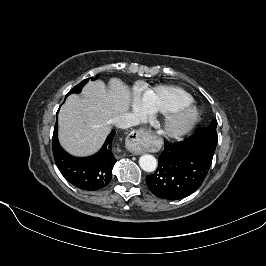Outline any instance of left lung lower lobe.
I'll use <instances>...</instances> for the list:
<instances>
[{
    "label": "left lung lower lobe",
    "mask_w": 266,
    "mask_h": 266,
    "mask_svg": "<svg viewBox=\"0 0 266 266\" xmlns=\"http://www.w3.org/2000/svg\"><path fill=\"white\" fill-rule=\"evenodd\" d=\"M192 137L178 143L165 142L156 172L146 176L154 195L166 200L182 199L204 181L212 158L192 142Z\"/></svg>",
    "instance_id": "0a47b994"
}]
</instances>
